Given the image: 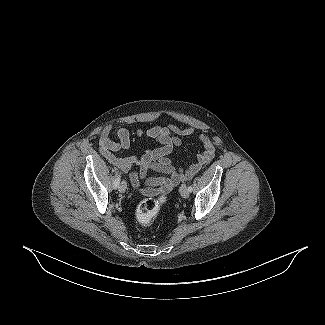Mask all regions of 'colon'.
Instances as JSON below:
<instances>
[{
  "mask_svg": "<svg viewBox=\"0 0 325 325\" xmlns=\"http://www.w3.org/2000/svg\"><path fill=\"white\" fill-rule=\"evenodd\" d=\"M167 186H169L167 184ZM145 194L151 196L154 191L148 189ZM166 202V192L162 191L157 198L148 197L143 200L136 210V220L142 226L149 225L158 215L161 206Z\"/></svg>",
  "mask_w": 325,
  "mask_h": 325,
  "instance_id": "1",
  "label": "colon"
}]
</instances>
